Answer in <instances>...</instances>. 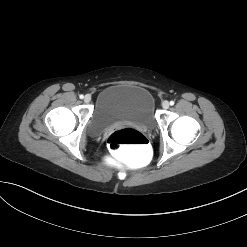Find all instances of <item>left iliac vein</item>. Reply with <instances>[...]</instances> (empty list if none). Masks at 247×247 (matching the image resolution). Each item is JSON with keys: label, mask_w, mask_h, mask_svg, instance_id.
Masks as SVG:
<instances>
[{"label": "left iliac vein", "mask_w": 247, "mask_h": 247, "mask_svg": "<svg viewBox=\"0 0 247 247\" xmlns=\"http://www.w3.org/2000/svg\"><path fill=\"white\" fill-rule=\"evenodd\" d=\"M162 107H163L164 109H168V108H169V102H168V101H163Z\"/></svg>", "instance_id": "left-iliac-vein-1"}]
</instances>
